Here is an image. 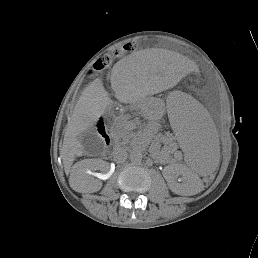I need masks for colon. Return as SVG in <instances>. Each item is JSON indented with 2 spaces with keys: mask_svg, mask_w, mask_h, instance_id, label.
<instances>
[{
  "mask_svg": "<svg viewBox=\"0 0 258 258\" xmlns=\"http://www.w3.org/2000/svg\"><path fill=\"white\" fill-rule=\"evenodd\" d=\"M134 43L126 44L122 49L123 50H130L134 47ZM111 63V56L110 55H103L95 62L93 66L94 71L104 70L109 67Z\"/></svg>",
  "mask_w": 258,
  "mask_h": 258,
  "instance_id": "colon-1",
  "label": "colon"
}]
</instances>
